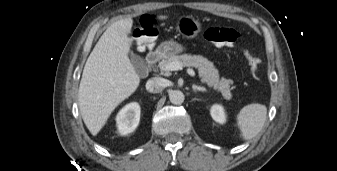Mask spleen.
<instances>
[{
    "label": "spleen",
    "mask_w": 337,
    "mask_h": 171,
    "mask_svg": "<svg viewBox=\"0 0 337 171\" xmlns=\"http://www.w3.org/2000/svg\"><path fill=\"white\" fill-rule=\"evenodd\" d=\"M267 115L265 105L253 103L241 109L237 115V126L243 140L254 138L263 128Z\"/></svg>",
    "instance_id": "3e777b00"
}]
</instances>
